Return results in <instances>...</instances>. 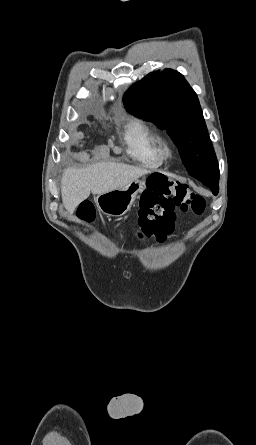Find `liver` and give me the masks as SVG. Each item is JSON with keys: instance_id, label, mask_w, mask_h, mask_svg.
I'll list each match as a JSON object with an SVG mask.
<instances>
[{"instance_id": "6515ba94", "label": "liver", "mask_w": 256, "mask_h": 445, "mask_svg": "<svg viewBox=\"0 0 256 445\" xmlns=\"http://www.w3.org/2000/svg\"><path fill=\"white\" fill-rule=\"evenodd\" d=\"M151 173L145 168L115 162H102L87 168H67L61 179V195L65 208L74 212L90 193L103 194L127 186Z\"/></svg>"}]
</instances>
